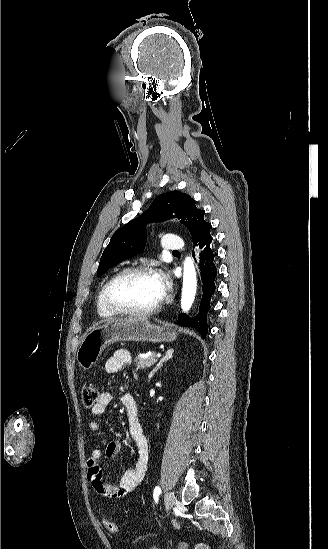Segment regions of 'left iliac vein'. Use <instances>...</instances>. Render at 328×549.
<instances>
[{"mask_svg": "<svg viewBox=\"0 0 328 549\" xmlns=\"http://www.w3.org/2000/svg\"><path fill=\"white\" fill-rule=\"evenodd\" d=\"M173 504H174V496H173L172 492H167L165 494L166 511H169L172 508Z\"/></svg>", "mask_w": 328, "mask_h": 549, "instance_id": "left-iliac-vein-1", "label": "left iliac vein"}]
</instances>
